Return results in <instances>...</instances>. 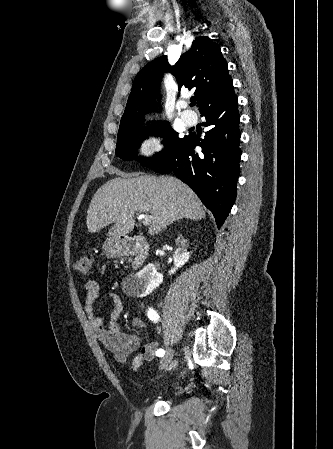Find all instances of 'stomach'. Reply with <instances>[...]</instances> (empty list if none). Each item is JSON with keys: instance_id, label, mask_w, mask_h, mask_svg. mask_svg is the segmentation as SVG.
<instances>
[{"instance_id": "0dacf381", "label": "stomach", "mask_w": 333, "mask_h": 449, "mask_svg": "<svg viewBox=\"0 0 333 449\" xmlns=\"http://www.w3.org/2000/svg\"><path fill=\"white\" fill-rule=\"evenodd\" d=\"M103 249L109 258L120 257L124 254L123 243L117 238H109L103 244Z\"/></svg>"}]
</instances>
